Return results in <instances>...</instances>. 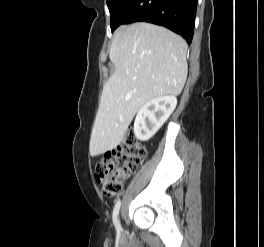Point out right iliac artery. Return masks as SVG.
I'll use <instances>...</instances> for the list:
<instances>
[{"label": "right iliac artery", "mask_w": 264, "mask_h": 247, "mask_svg": "<svg viewBox=\"0 0 264 247\" xmlns=\"http://www.w3.org/2000/svg\"><path fill=\"white\" fill-rule=\"evenodd\" d=\"M120 206H121V201L118 200L114 206V209H113V223L116 227L117 232L121 231L120 221L118 220V214H119Z\"/></svg>", "instance_id": "right-iliac-artery-1"}]
</instances>
